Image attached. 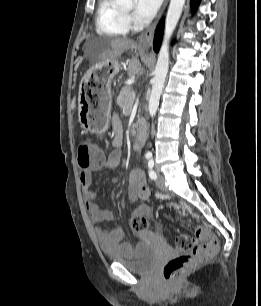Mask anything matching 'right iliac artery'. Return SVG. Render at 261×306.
<instances>
[{
	"mask_svg": "<svg viewBox=\"0 0 261 306\" xmlns=\"http://www.w3.org/2000/svg\"><path fill=\"white\" fill-rule=\"evenodd\" d=\"M146 158L149 159V158H150V155H147Z\"/></svg>",
	"mask_w": 261,
	"mask_h": 306,
	"instance_id": "obj_1",
	"label": "right iliac artery"
}]
</instances>
